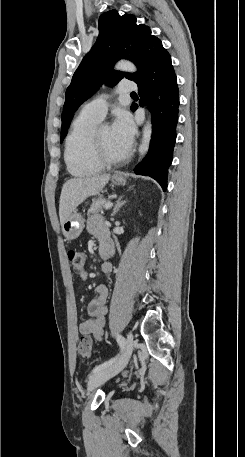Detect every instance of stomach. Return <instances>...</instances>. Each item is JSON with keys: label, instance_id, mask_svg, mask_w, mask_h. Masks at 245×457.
<instances>
[{"label": "stomach", "instance_id": "stomach-1", "mask_svg": "<svg viewBox=\"0 0 245 457\" xmlns=\"http://www.w3.org/2000/svg\"><path fill=\"white\" fill-rule=\"evenodd\" d=\"M113 184H124L126 182L123 174L120 180H112ZM84 229V218L80 212L72 210L70 216L66 218L65 222L62 224V233L66 241H73L81 235Z\"/></svg>", "mask_w": 245, "mask_h": 457}]
</instances>
